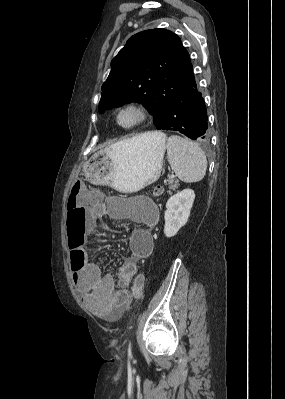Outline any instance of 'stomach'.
I'll list each match as a JSON object with an SVG mask.
<instances>
[{"label":"stomach","mask_w":285,"mask_h":399,"mask_svg":"<svg viewBox=\"0 0 285 399\" xmlns=\"http://www.w3.org/2000/svg\"><path fill=\"white\" fill-rule=\"evenodd\" d=\"M166 136L138 135L96 152L83 166L87 180L95 185H110L124 193L137 192L161 175Z\"/></svg>","instance_id":"1"}]
</instances>
